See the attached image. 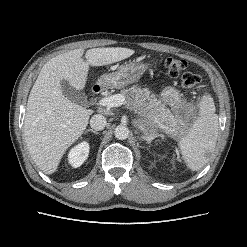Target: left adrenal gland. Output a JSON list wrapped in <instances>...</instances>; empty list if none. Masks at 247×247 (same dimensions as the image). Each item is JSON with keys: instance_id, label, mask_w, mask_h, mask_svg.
Returning a JSON list of instances; mask_svg holds the SVG:
<instances>
[{"instance_id": "left-adrenal-gland-1", "label": "left adrenal gland", "mask_w": 247, "mask_h": 247, "mask_svg": "<svg viewBox=\"0 0 247 247\" xmlns=\"http://www.w3.org/2000/svg\"><path fill=\"white\" fill-rule=\"evenodd\" d=\"M156 137H161V138H163V135L162 134H159V133H157V132H153V133H151L149 136H147V137H145V136H142V139H144V140H146L149 144L151 143V141L153 140V139H155Z\"/></svg>"}]
</instances>
